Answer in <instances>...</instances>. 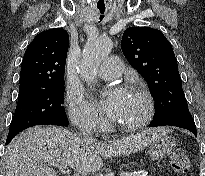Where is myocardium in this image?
Segmentation results:
<instances>
[{
    "label": "myocardium",
    "instance_id": "1",
    "mask_svg": "<svg viewBox=\"0 0 205 176\" xmlns=\"http://www.w3.org/2000/svg\"><path fill=\"white\" fill-rule=\"evenodd\" d=\"M134 92L144 100L146 107L145 114L138 122L133 124H124L116 122L117 127L122 130L134 131L141 129L151 121L154 114V101L151 94L143 87H137Z\"/></svg>",
    "mask_w": 205,
    "mask_h": 176
}]
</instances>
